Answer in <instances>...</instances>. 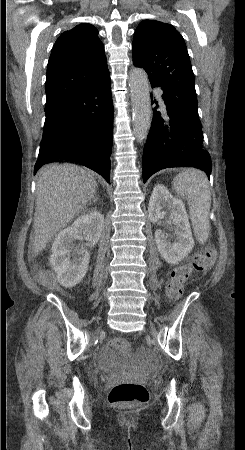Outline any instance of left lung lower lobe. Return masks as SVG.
<instances>
[{
	"label": "left lung lower lobe",
	"instance_id": "obj_1",
	"mask_svg": "<svg viewBox=\"0 0 245 450\" xmlns=\"http://www.w3.org/2000/svg\"><path fill=\"white\" fill-rule=\"evenodd\" d=\"M153 88L163 90L167 115L154 108L153 120L143 156V182L155 172L171 167H196L208 178L212 170L211 158L203 145L202 125L198 112L171 94L161 83L149 79ZM151 99L153 95L150 94ZM154 102L157 104L156 100Z\"/></svg>",
	"mask_w": 245,
	"mask_h": 450
}]
</instances>
